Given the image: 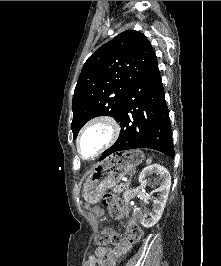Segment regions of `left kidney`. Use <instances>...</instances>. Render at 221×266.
<instances>
[{
  "label": "left kidney",
  "mask_w": 221,
  "mask_h": 266,
  "mask_svg": "<svg viewBox=\"0 0 221 266\" xmlns=\"http://www.w3.org/2000/svg\"><path fill=\"white\" fill-rule=\"evenodd\" d=\"M154 173L160 175L161 182L159 188L160 195L157 199L153 200L154 207L152 212L149 217H147V215L141 213L139 208L136 210L141 224L146 228L154 226L161 218L171 186V176L169 171L159 164L149 165L141 171L139 175V183L141 186H145L147 183V177ZM141 197L145 198L146 196L142 194Z\"/></svg>",
  "instance_id": "left-kidney-1"
}]
</instances>
